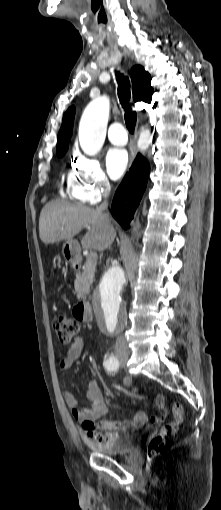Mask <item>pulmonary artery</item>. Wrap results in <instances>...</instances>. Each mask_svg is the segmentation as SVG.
<instances>
[{"mask_svg":"<svg viewBox=\"0 0 221 510\" xmlns=\"http://www.w3.org/2000/svg\"><path fill=\"white\" fill-rule=\"evenodd\" d=\"M108 138L112 144L123 146L128 141L127 131L121 123L114 122L109 128Z\"/></svg>","mask_w":221,"mask_h":510,"instance_id":"e3ab8cb5","label":"pulmonary artery"}]
</instances>
